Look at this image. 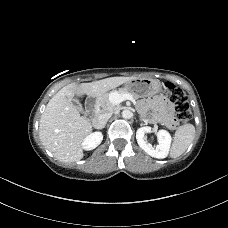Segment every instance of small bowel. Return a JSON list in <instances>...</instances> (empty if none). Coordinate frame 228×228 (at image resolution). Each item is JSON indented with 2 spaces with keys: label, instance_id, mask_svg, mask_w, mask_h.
Instances as JSON below:
<instances>
[{
  "label": "small bowel",
  "instance_id": "obj_1",
  "mask_svg": "<svg viewBox=\"0 0 228 228\" xmlns=\"http://www.w3.org/2000/svg\"><path fill=\"white\" fill-rule=\"evenodd\" d=\"M149 108L153 118L160 120L162 123H168V114L172 111V104L163 96L153 98L149 105H144V108Z\"/></svg>",
  "mask_w": 228,
  "mask_h": 228
}]
</instances>
